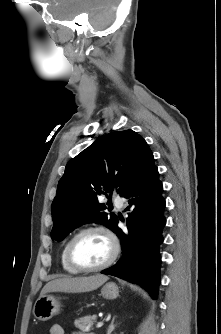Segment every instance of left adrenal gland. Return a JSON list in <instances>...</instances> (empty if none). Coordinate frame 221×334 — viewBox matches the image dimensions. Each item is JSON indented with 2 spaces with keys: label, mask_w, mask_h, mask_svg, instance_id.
Returning <instances> with one entry per match:
<instances>
[{
  "label": "left adrenal gland",
  "mask_w": 221,
  "mask_h": 334,
  "mask_svg": "<svg viewBox=\"0 0 221 334\" xmlns=\"http://www.w3.org/2000/svg\"><path fill=\"white\" fill-rule=\"evenodd\" d=\"M114 321H115V317H113V319H112V321H111V323H110V325L107 329V334H111L114 331V329L116 327V325H114Z\"/></svg>",
  "instance_id": "obj_1"
}]
</instances>
